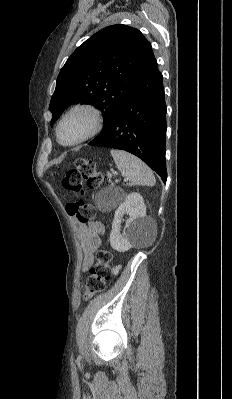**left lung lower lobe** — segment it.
<instances>
[{
    "label": "left lung lower lobe",
    "instance_id": "obj_1",
    "mask_svg": "<svg viewBox=\"0 0 232 399\" xmlns=\"http://www.w3.org/2000/svg\"><path fill=\"white\" fill-rule=\"evenodd\" d=\"M166 104L162 74L152 48L111 128L92 146L125 150L142 159L165 183Z\"/></svg>",
    "mask_w": 232,
    "mask_h": 399
}]
</instances>
